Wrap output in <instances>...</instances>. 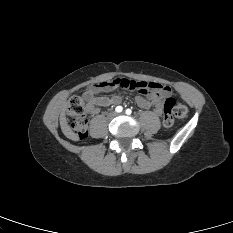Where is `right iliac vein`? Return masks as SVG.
<instances>
[{
  "label": "right iliac vein",
  "mask_w": 233,
  "mask_h": 233,
  "mask_svg": "<svg viewBox=\"0 0 233 233\" xmlns=\"http://www.w3.org/2000/svg\"><path fill=\"white\" fill-rule=\"evenodd\" d=\"M115 117V113L114 112H111L108 114V119H113Z\"/></svg>",
  "instance_id": "63e3f726"
}]
</instances>
